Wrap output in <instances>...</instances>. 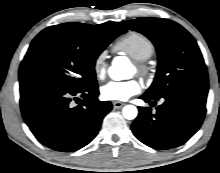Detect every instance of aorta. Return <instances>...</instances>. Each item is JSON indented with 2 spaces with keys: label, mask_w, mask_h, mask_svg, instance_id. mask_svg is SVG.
Returning a JSON list of instances; mask_svg holds the SVG:
<instances>
[{
  "label": "aorta",
  "mask_w": 220,
  "mask_h": 173,
  "mask_svg": "<svg viewBox=\"0 0 220 173\" xmlns=\"http://www.w3.org/2000/svg\"><path fill=\"white\" fill-rule=\"evenodd\" d=\"M126 68L127 65L125 57L114 59L112 66L109 68V75L113 80H123L127 77L125 73ZM122 114L126 119L133 120L137 117L138 110L134 105H126L122 109Z\"/></svg>",
  "instance_id": "obj_1"
}]
</instances>
